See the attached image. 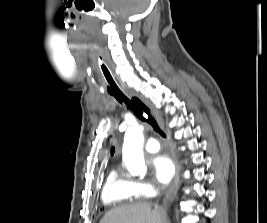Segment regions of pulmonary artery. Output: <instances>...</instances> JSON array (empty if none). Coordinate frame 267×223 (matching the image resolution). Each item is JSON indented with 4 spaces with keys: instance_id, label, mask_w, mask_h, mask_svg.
I'll list each match as a JSON object with an SVG mask.
<instances>
[{
    "instance_id": "pulmonary-artery-1",
    "label": "pulmonary artery",
    "mask_w": 267,
    "mask_h": 223,
    "mask_svg": "<svg viewBox=\"0 0 267 223\" xmlns=\"http://www.w3.org/2000/svg\"><path fill=\"white\" fill-rule=\"evenodd\" d=\"M144 149L147 152H156L160 149V143L158 142V140L151 138L145 143Z\"/></svg>"
}]
</instances>
